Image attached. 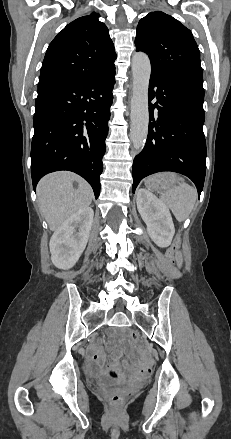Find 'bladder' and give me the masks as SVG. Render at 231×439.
Segmentation results:
<instances>
[{"label":"bladder","mask_w":231,"mask_h":439,"mask_svg":"<svg viewBox=\"0 0 231 439\" xmlns=\"http://www.w3.org/2000/svg\"><path fill=\"white\" fill-rule=\"evenodd\" d=\"M85 371H86V372L88 371V367H87V366L85 367Z\"/></svg>","instance_id":"31cf9c89"}]
</instances>
